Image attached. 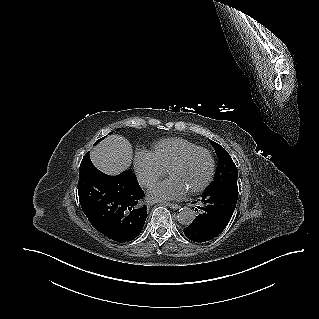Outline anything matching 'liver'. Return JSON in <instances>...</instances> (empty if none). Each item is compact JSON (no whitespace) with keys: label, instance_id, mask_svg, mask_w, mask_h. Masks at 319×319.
<instances>
[{"label":"liver","instance_id":"obj_1","mask_svg":"<svg viewBox=\"0 0 319 319\" xmlns=\"http://www.w3.org/2000/svg\"><path fill=\"white\" fill-rule=\"evenodd\" d=\"M92 163L108 175H118L127 169L133 158L130 142L119 135H110L90 152Z\"/></svg>","mask_w":319,"mask_h":319}]
</instances>
